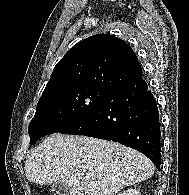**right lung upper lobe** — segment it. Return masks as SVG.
Segmentation results:
<instances>
[{
  "instance_id": "right-lung-upper-lobe-1",
  "label": "right lung upper lobe",
  "mask_w": 189,
  "mask_h": 195,
  "mask_svg": "<svg viewBox=\"0 0 189 195\" xmlns=\"http://www.w3.org/2000/svg\"><path fill=\"white\" fill-rule=\"evenodd\" d=\"M141 76L137 57L125 41L97 34L77 43L56 64L42 96L71 88L112 91Z\"/></svg>"
}]
</instances>
